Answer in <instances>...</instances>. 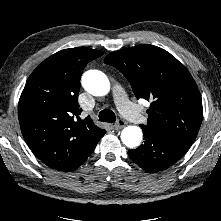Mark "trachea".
I'll use <instances>...</instances> for the list:
<instances>
[{
	"instance_id": "1",
	"label": "trachea",
	"mask_w": 221,
	"mask_h": 221,
	"mask_svg": "<svg viewBox=\"0 0 221 221\" xmlns=\"http://www.w3.org/2000/svg\"><path fill=\"white\" fill-rule=\"evenodd\" d=\"M99 120L102 122L114 123L116 121L115 113L112 110L104 109L99 113Z\"/></svg>"
}]
</instances>
